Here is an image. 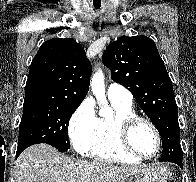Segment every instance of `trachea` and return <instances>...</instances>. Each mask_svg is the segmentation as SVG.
<instances>
[{"label":"trachea","instance_id":"1","mask_svg":"<svg viewBox=\"0 0 196 182\" xmlns=\"http://www.w3.org/2000/svg\"><path fill=\"white\" fill-rule=\"evenodd\" d=\"M95 8H96V9H98V8H99V6H95Z\"/></svg>","mask_w":196,"mask_h":182}]
</instances>
